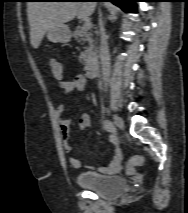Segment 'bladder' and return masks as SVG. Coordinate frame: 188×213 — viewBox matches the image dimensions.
Segmentation results:
<instances>
[{
  "instance_id": "31cf9c89",
  "label": "bladder",
  "mask_w": 188,
  "mask_h": 213,
  "mask_svg": "<svg viewBox=\"0 0 188 213\" xmlns=\"http://www.w3.org/2000/svg\"><path fill=\"white\" fill-rule=\"evenodd\" d=\"M76 184L106 199H113L127 190L128 182L121 176H108L89 171L77 175Z\"/></svg>"
}]
</instances>
